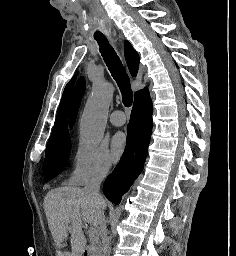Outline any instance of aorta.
I'll return each instance as SVG.
<instances>
[{
	"mask_svg": "<svg viewBox=\"0 0 236 256\" xmlns=\"http://www.w3.org/2000/svg\"><path fill=\"white\" fill-rule=\"evenodd\" d=\"M111 83H95L80 122V137L90 145L98 144L104 135L109 105L113 98Z\"/></svg>",
	"mask_w": 236,
	"mask_h": 256,
	"instance_id": "762f6f07",
	"label": "aorta"
}]
</instances>
